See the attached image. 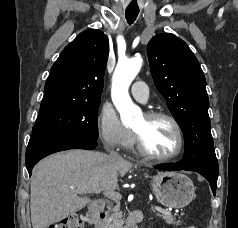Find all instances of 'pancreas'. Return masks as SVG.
Segmentation results:
<instances>
[{
	"instance_id": "cf45deb5",
	"label": "pancreas",
	"mask_w": 238,
	"mask_h": 228,
	"mask_svg": "<svg viewBox=\"0 0 238 228\" xmlns=\"http://www.w3.org/2000/svg\"><path fill=\"white\" fill-rule=\"evenodd\" d=\"M115 202H116L115 206H113L112 204L108 206L107 215L109 217V221L106 224V228H122V225L124 223L121 212H120L119 200H115ZM161 217L167 224H170V225L181 224V222L177 220L175 217H173L172 215L163 214L161 215Z\"/></svg>"
}]
</instances>
